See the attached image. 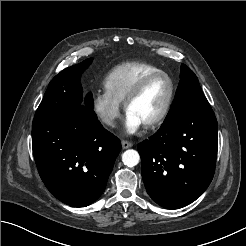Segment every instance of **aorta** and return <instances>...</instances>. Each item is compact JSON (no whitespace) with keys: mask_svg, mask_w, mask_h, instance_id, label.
<instances>
[{"mask_svg":"<svg viewBox=\"0 0 246 246\" xmlns=\"http://www.w3.org/2000/svg\"><path fill=\"white\" fill-rule=\"evenodd\" d=\"M140 156L136 150L129 149L122 154V161L128 167H134L139 163Z\"/></svg>","mask_w":246,"mask_h":246,"instance_id":"762f6f07","label":"aorta"}]
</instances>
